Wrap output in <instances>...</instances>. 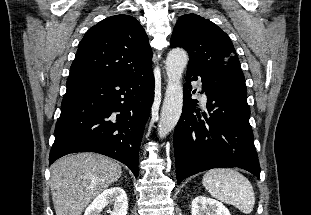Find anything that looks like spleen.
I'll return each instance as SVG.
<instances>
[{
	"label": "spleen",
	"mask_w": 311,
	"mask_h": 215,
	"mask_svg": "<svg viewBox=\"0 0 311 215\" xmlns=\"http://www.w3.org/2000/svg\"><path fill=\"white\" fill-rule=\"evenodd\" d=\"M202 184L212 197L231 204L244 214H250L255 205V194L249 180L230 168L207 171Z\"/></svg>",
	"instance_id": "3e777b00"
}]
</instances>
